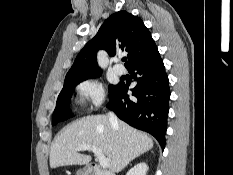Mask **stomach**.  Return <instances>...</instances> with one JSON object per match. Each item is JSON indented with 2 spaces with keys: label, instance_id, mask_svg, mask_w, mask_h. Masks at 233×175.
Returning a JSON list of instances; mask_svg holds the SVG:
<instances>
[{
  "label": "stomach",
  "instance_id": "1",
  "mask_svg": "<svg viewBox=\"0 0 233 175\" xmlns=\"http://www.w3.org/2000/svg\"><path fill=\"white\" fill-rule=\"evenodd\" d=\"M77 175H88L87 172L85 170H79L77 172Z\"/></svg>",
  "mask_w": 233,
  "mask_h": 175
}]
</instances>
